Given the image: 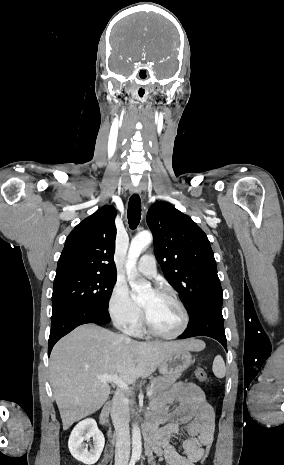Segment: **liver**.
Returning a JSON list of instances; mask_svg holds the SVG:
<instances>
[{
    "label": "liver",
    "mask_w": 284,
    "mask_h": 465,
    "mask_svg": "<svg viewBox=\"0 0 284 465\" xmlns=\"http://www.w3.org/2000/svg\"><path fill=\"white\" fill-rule=\"evenodd\" d=\"M177 349L203 351L204 341L138 343L97 325H81L56 343L50 361L54 399L67 431L99 411L110 395V385L96 375H118L127 385L150 377L168 353Z\"/></svg>",
    "instance_id": "6515ba94"
}]
</instances>
